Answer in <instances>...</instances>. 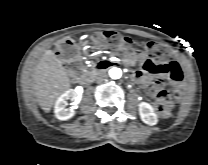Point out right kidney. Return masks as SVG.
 Here are the masks:
<instances>
[{
	"instance_id": "ca27d5eb",
	"label": "right kidney",
	"mask_w": 208,
	"mask_h": 165,
	"mask_svg": "<svg viewBox=\"0 0 208 165\" xmlns=\"http://www.w3.org/2000/svg\"><path fill=\"white\" fill-rule=\"evenodd\" d=\"M83 90L77 91L73 89L67 90L55 102L54 113L59 120H68L75 114L73 109H67L68 100L73 101L72 105L78 107L81 100Z\"/></svg>"
}]
</instances>
